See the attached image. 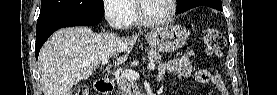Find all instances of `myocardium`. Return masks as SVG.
<instances>
[{"label":"myocardium","instance_id":"obj_1","mask_svg":"<svg viewBox=\"0 0 277 95\" xmlns=\"http://www.w3.org/2000/svg\"><path fill=\"white\" fill-rule=\"evenodd\" d=\"M145 0H134V10H135V15L140 23L146 26H160V25H165L168 24L176 11V1L175 0H168L169 5H170V12L167 17L163 19H149L145 17L142 12H141V5Z\"/></svg>","mask_w":277,"mask_h":95}]
</instances>
